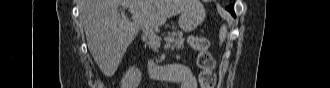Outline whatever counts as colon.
<instances>
[{
	"instance_id": "5ec220e1",
	"label": "colon",
	"mask_w": 330,
	"mask_h": 88,
	"mask_svg": "<svg viewBox=\"0 0 330 88\" xmlns=\"http://www.w3.org/2000/svg\"><path fill=\"white\" fill-rule=\"evenodd\" d=\"M190 45L197 53L198 66L201 69L199 81L201 88H214L216 77L214 73V59L210 53V41L205 36H193Z\"/></svg>"
}]
</instances>
